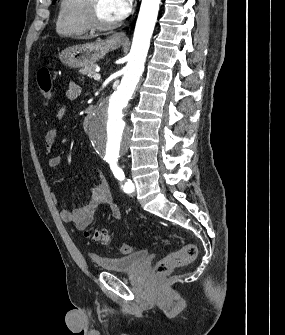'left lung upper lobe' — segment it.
<instances>
[{
    "label": "left lung upper lobe",
    "mask_w": 285,
    "mask_h": 335,
    "mask_svg": "<svg viewBox=\"0 0 285 335\" xmlns=\"http://www.w3.org/2000/svg\"><path fill=\"white\" fill-rule=\"evenodd\" d=\"M56 2V0H53V3H55Z\"/></svg>",
    "instance_id": "obj_1"
}]
</instances>
